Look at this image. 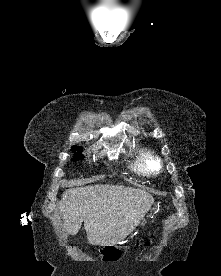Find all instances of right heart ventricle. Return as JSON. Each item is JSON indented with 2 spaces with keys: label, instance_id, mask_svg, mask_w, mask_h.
I'll return each mask as SVG.
<instances>
[{
  "label": "right heart ventricle",
  "instance_id": "obj_1",
  "mask_svg": "<svg viewBox=\"0 0 221 276\" xmlns=\"http://www.w3.org/2000/svg\"><path fill=\"white\" fill-rule=\"evenodd\" d=\"M137 168L144 172H157L160 169V161L152 152L145 150L138 156Z\"/></svg>",
  "mask_w": 221,
  "mask_h": 276
}]
</instances>
